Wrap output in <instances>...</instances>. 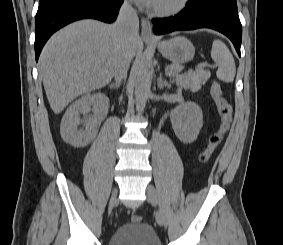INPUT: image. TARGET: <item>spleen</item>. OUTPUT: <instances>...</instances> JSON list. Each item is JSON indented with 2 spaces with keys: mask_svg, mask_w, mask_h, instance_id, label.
Listing matches in <instances>:
<instances>
[{
  "mask_svg": "<svg viewBox=\"0 0 283 245\" xmlns=\"http://www.w3.org/2000/svg\"><path fill=\"white\" fill-rule=\"evenodd\" d=\"M211 57L218 65L217 78L226 83L233 82L236 74L235 61L228 47L221 40L213 42Z\"/></svg>",
  "mask_w": 283,
  "mask_h": 245,
  "instance_id": "3e777b00",
  "label": "spleen"
}]
</instances>
